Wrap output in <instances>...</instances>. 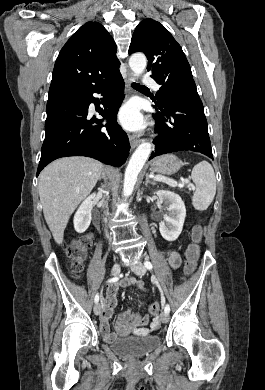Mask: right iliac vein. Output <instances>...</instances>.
I'll list each match as a JSON object with an SVG mask.
<instances>
[{
  "label": "right iliac vein",
  "mask_w": 265,
  "mask_h": 390,
  "mask_svg": "<svg viewBox=\"0 0 265 390\" xmlns=\"http://www.w3.org/2000/svg\"><path fill=\"white\" fill-rule=\"evenodd\" d=\"M120 271H121L120 264H119V263H115L114 266H113L112 269H111V276H113V277L118 276L119 273H120ZM93 310H94L95 315H99V314H100V311H101V306H100V304H99V303H96V304L94 305Z\"/></svg>",
  "instance_id": "1"
}]
</instances>
